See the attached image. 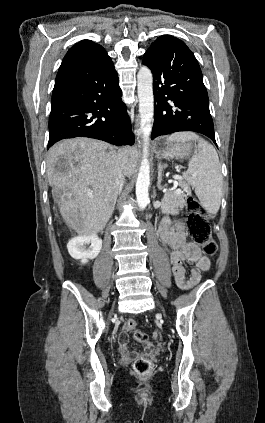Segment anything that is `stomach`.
Segmentation results:
<instances>
[{"instance_id":"obj_1","label":"stomach","mask_w":265,"mask_h":423,"mask_svg":"<svg viewBox=\"0 0 265 423\" xmlns=\"http://www.w3.org/2000/svg\"><path fill=\"white\" fill-rule=\"evenodd\" d=\"M198 151L195 142L172 143L169 138H161L156 144L155 153L159 159H184Z\"/></svg>"}]
</instances>
